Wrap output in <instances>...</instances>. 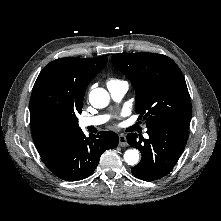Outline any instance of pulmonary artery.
Here are the masks:
<instances>
[{
    "label": "pulmonary artery",
    "instance_id": "1",
    "mask_svg": "<svg viewBox=\"0 0 221 221\" xmlns=\"http://www.w3.org/2000/svg\"><path fill=\"white\" fill-rule=\"evenodd\" d=\"M108 91L114 101H120L128 91V83L125 81H118L107 84ZM106 115H99L94 117L81 118L79 123L81 127L99 126L107 121ZM148 137V134H145Z\"/></svg>",
    "mask_w": 221,
    "mask_h": 221
}]
</instances>
